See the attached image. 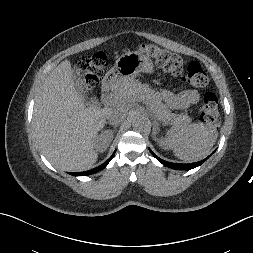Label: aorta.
I'll return each instance as SVG.
<instances>
[{"mask_svg":"<svg viewBox=\"0 0 253 253\" xmlns=\"http://www.w3.org/2000/svg\"><path fill=\"white\" fill-rule=\"evenodd\" d=\"M133 126L137 129H143L146 126V120L140 114H136L133 120Z\"/></svg>","mask_w":253,"mask_h":253,"instance_id":"obj_1","label":"aorta"}]
</instances>
